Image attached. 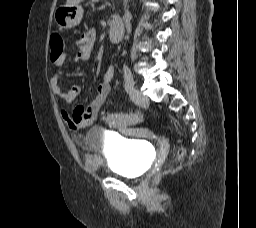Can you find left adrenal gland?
Wrapping results in <instances>:
<instances>
[{"mask_svg": "<svg viewBox=\"0 0 256 228\" xmlns=\"http://www.w3.org/2000/svg\"><path fill=\"white\" fill-rule=\"evenodd\" d=\"M127 2L128 0H124V9H126Z\"/></svg>", "mask_w": 256, "mask_h": 228, "instance_id": "a2214340", "label": "left adrenal gland"}]
</instances>
